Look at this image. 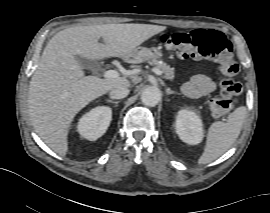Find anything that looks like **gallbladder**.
I'll list each match as a JSON object with an SVG mask.
<instances>
[{"label":"gallbladder","mask_w":270,"mask_h":213,"mask_svg":"<svg viewBox=\"0 0 270 213\" xmlns=\"http://www.w3.org/2000/svg\"><path fill=\"white\" fill-rule=\"evenodd\" d=\"M77 61L85 69H96L99 67V63L95 60H89L87 58L76 56Z\"/></svg>","instance_id":"gallbladder-1"}]
</instances>
